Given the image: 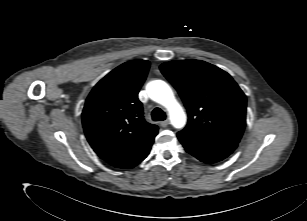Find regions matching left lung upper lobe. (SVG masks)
Wrapping results in <instances>:
<instances>
[{
    "label": "left lung upper lobe",
    "mask_w": 307,
    "mask_h": 221,
    "mask_svg": "<svg viewBox=\"0 0 307 221\" xmlns=\"http://www.w3.org/2000/svg\"><path fill=\"white\" fill-rule=\"evenodd\" d=\"M160 70L187 108L189 120L181 132L239 143L246 96L227 72L200 60L170 61Z\"/></svg>",
    "instance_id": "obj_1"
}]
</instances>
